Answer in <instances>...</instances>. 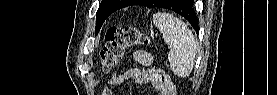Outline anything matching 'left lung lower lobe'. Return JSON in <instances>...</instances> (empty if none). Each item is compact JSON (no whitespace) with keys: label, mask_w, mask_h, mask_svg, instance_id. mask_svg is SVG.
Masks as SVG:
<instances>
[{"label":"left lung lower lobe","mask_w":277,"mask_h":95,"mask_svg":"<svg viewBox=\"0 0 277 95\" xmlns=\"http://www.w3.org/2000/svg\"><path fill=\"white\" fill-rule=\"evenodd\" d=\"M177 0H163L159 7L171 9L186 18L195 30H198L197 16L193 12V0H181L176 5ZM149 0H133L130 5H144L148 7Z\"/></svg>","instance_id":"1"}]
</instances>
